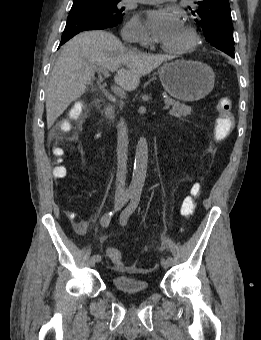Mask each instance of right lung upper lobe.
<instances>
[{"label": "right lung upper lobe", "instance_id": "obj_1", "mask_svg": "<svg viewBox=\"0 0 261 340\" xmlns=\"http://www.w3.org/2000/svg\"><path fill=\"white\" fill-rule=\"evenodd\" d=\"M88 1V0H74V2Z\"/></svg>", "mask_w": 261, "mask_h": 340}]
</instances>
